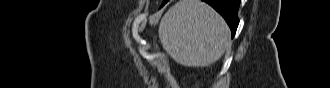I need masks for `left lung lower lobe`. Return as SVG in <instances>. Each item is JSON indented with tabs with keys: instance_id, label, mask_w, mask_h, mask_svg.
Masks as SVG:
<instances>
[{
	"instance_id": "left-lung-lower-lobe-1",
	"label": "left lung lower lobe",
	"mask_w": 330,
	"mask_h": 88,
	"mask_svg": "<svg viewBox=\"0 0 330 88\" xmlns=\"http://www.w3.org/2000/svg\"><path fill=\"white\" fill-rule=\"evenodd\" d=\"M212 6L217 12H219L222 17L226 20L229 25L232 37L236 33V29L239 24V19L237 16L238 8L241 0H202ZM168 0H164L162 5L167 3Z\"/></svg>"
}]
</instances>
